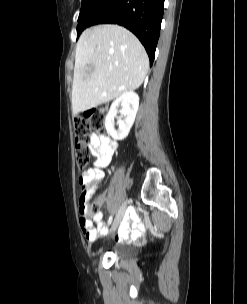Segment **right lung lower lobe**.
Instances as JSON below:
<instances>
[{
  "label": "right lung lower lobe",
  "mask_w": 247,
  "mask_h": 304,
  "mask_svg": "<svg viewBox=\"0 0 247 304\" xmlns=\"http://www.w3.org/2000/svg\"><path fill=\"white\" fill-rule=\"evenodd\" d=\"M164 12V0H102L84 19L83 30L95 24H119L133 32L153 64Z\"/></svg>",
  "instance_id": "1"
}]
</instances>
